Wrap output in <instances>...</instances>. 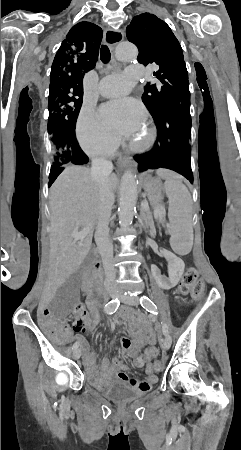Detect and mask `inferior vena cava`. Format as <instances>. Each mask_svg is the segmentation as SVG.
<instances>
[{
  "label": "inferior vena cava",
  "mask_w": 241,
  "mask_h": 450,
  "mask_svg": "<svg viewBox=\"0 0 241 450\" xmlns=\"http://www.w3.org/2000/svg\"><path fill=\"white\" fill-rule=\"evenodd\" d=\"M113 170L112 162L105 158H95L91 162V178L96 180L100 194V216L96 226V244L101 254L103 268L105 272L104 286L110 288V284L116 280L117 270L113 262V244L109 236V218L114 204L113 194L109 186V176Z\"/></svg>",
  "instance_id": "inferior-vena-cava-1"
}]
</instances>
